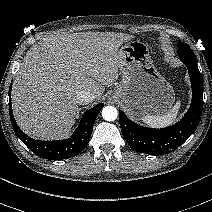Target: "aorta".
Returning a JSON list of instances; mask_svg holds the SVG:
<instances>
[{"label":"aorta","mask_w":212,"mask_h":212,"mask_svg":"<svg viewBox=\"0 0 212 212\" xmlns=\"http://www.w3.org/2000/svg\"><path fill=\"white\" fill-rule=\"evenodd\" d=\"M101 112L103 119L106 121H114L118 117V111L114 106H105Z\"/></svg>","instance_id":"obj_1"}]
</instances>
